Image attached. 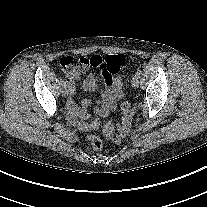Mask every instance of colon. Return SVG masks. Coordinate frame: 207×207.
<instances>
[{
	"label": "colon",
	"instance_id": "1",
	"mask_svg": "<svg viewBox=\"0 0 207 207\" xmlns=\"http://www.w3.org/2000/svg\"><path fill=\"white\" fill-rule=\"evenodd\" d=\"M128 63L124 55H112L105 58L96 57L91 60L79 61L77 64L72 59H63L60 61L61 68L65 71L70 81H76L80 78L81 72L89 66L98 67L101 70V76L107 79L118 73ZM122 123L115 136V141H120L127 136L130 130L133 108L128 102L121 104ZM91 146L94 150L99 151L103 148L101 139L97 136L89 137Z\"/></svg>",
	"mask_w": 207,
	"mask_h": 207
}]
</instances>
